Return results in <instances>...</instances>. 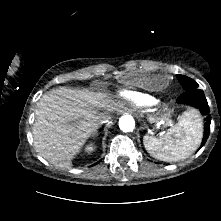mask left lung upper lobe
<instances>
[{
	"label": "left lung upper lobe",
	"instance_id": "obj_1",
	"mask_svg": "<svg viewBox=\"0 0 221 221\" xmlns=\"http://www.w3.org/2000/svg\"><path fill=\"white\" fill-rule=\"evenodd\" d=\"M177 78L185 91L198 89V84L193 79L184 75H177Z\"/></svg>",
	"mask_w": 221,
	"mask_h": 221
}]
</instances>
